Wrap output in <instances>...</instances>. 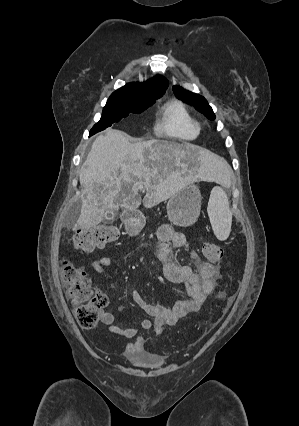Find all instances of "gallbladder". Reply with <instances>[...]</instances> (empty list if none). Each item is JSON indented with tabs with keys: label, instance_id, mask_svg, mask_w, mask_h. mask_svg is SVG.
I'll return each mask as SVG.
<instances>
[{
	"label": "gallbladder",
	"instance_id": "gallbladder-1",
	"mask_svg": "<svg viewBox=\"0 0 299 426\" xmlns=\"http://www.w3.org/2000/svg\"><path fill=\"white\" fill-rule=\"evenodd\" d=\"M114 215H115V210L114 209H108L107 215H106L104 221L105 222H113Z\"/></svg>",
	"mask_w": 299,
	"mask_h": 426
}]
</instances>
